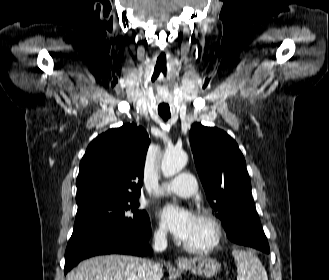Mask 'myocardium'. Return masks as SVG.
Returning a JSON list of instances; mask_svg holds the SVG:
<instances>
[{
    "instance_id": "f54148a6",
    "label": "myocardium",
    "mask_w": 329,
    "mask_h": 280,
    "mask_svg": "<svg viewBox=\"0 0 329 280\" xmlns=\"http://www.w3.org/2000/svg\"><path fill=\"white\" fill-rule=\"evenodd\" d=\"M198 217L209 227L211 239L204 245L195 246L184 243V248L194 254H206L215 250L221 243L223 231L219 221L208 211L200 210Z\"/></svg>"
}]
</instances>
